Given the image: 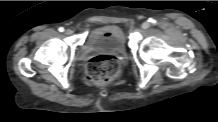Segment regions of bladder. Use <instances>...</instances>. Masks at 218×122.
Returning <instances> with one entry per match:
<instances>
[{"mask_svg": "<svg viewBox=\"0 0 218 122\" xmlns=\"http://www.w3.org/2000/svg\"><path fill=\"white\" fill-rule=\"evenodd\" d=\"M85 46L90 50L124 53L126 39L123 31L114 25H106L92 30Z\"/></svg>", "mask_w": 218, "mask_h": 122, "instance_id": "31cf9c89", "label": "bladder"}]
</instances>
